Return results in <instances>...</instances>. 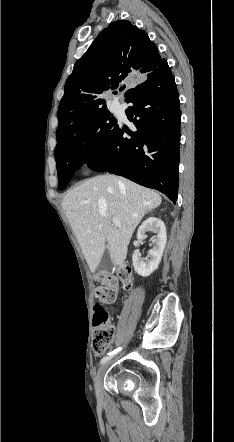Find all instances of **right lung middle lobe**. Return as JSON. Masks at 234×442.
I'll return each mask as SVG.
<instances>
[{"instance_id":"obj_1","label":"right lung middle lobe","mask_w":234,"mask_h":442,"mask_svg":"<svg viewBox=\"0 0 234 442\" xmlns=\"http://www.w3.org/2000/svg\"><path fill=\"white\" fill-rule=\"evenodd\" d=\"M116 124L117 119L107 108L100 109L85 117L78 128L56 146L59 190L66 187L78 168L97 155L107 143Z\"/></svg>"}]
</instances>
